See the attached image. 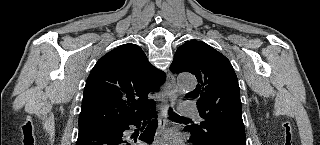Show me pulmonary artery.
I'll return each mask as SVG.
<instances>
[{
    "label": "pulmonary artery",
    "mask_w": 320,
    "mask_h": 145,
    "mask_svg": "<svg viewBox=\"0 0 320 145\" xmlns=\"http://www.w3.org/2000/svg\"><path fill=\"white\" fill-rule=\"evenodd\" d=\"M180 113H181V115H184V116H191V117L200 119V115H199L197 109L194 108L193 106L181 108Z\"/></svg>",
    "instance_id": "obj_1"
}]
</instances>
